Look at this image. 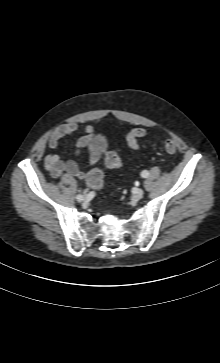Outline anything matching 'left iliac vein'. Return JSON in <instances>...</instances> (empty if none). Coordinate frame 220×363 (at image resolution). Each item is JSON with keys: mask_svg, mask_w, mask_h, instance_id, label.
Wrapping results in <instances>:
<instances>
[{"mask_svg": "<svg viewBox=\"0 0 220 363\" xmlns=\"http://www.w3.org/2000/svg\"><path fill=\"white\" fill-rule=\"evenodd\" d=\"M143 194H144L143 189H141V188L136 189L132 196L133 201L136 202V201L140 200L143 197Z\"/></svg>", "mask_w": 220, "mask_h": 363, "instance_id": "1", "label": "left iliac vein"}]
</instances>
